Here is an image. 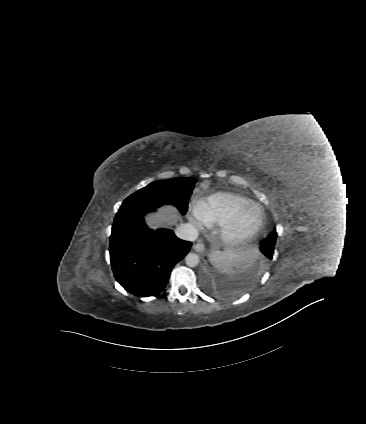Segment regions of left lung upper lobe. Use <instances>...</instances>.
Returning <instances> with one entry per match:
<instances>
[{"label":"left lung upper lobe","mask_w":366,"mask_h":424,"mask_svg":"<svg viewBox=\"0 0 366 424\" xmlns=\"http://www.w3.org/2000/svg\"><path fill=\"white\" fill-rule=\"evenodd\" d=\"M277 239L276 231H273L266 239L260 243L261 252L269 259H272L275 243Z\"/></svg>","instance_id":"obj_1"}]
</instances>
